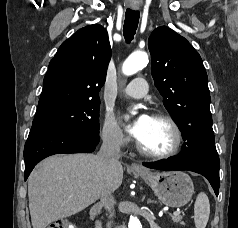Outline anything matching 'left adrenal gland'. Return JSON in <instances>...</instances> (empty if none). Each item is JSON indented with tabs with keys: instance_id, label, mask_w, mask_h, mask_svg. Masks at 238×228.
Instances as JSON below:
<instances>
[{
	"instance_id": "a2214340",
	"label": "left adrenal gland",
	"mask_w": 238,
	"mask_h": 228,
	"mask_svg": "<svg viewBox=\"0 0 238 228\" xmlns=\"http://www.w3.org/2000/svg\"><path fill=\"white\" fill-rule=\"evenodd\" d=\"M148 203H155V201H152V200H148Z\"/></svg>"
}]
</instances>
